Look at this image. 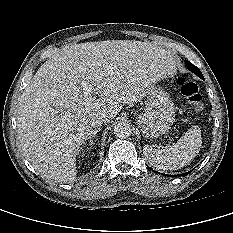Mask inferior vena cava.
I'll list each match as a JSON object with an SVG mask.
<instances>
[{"label": "inferior vena cava", "instance_id": "1", "mask_svg": "<svg viewBox=\"0 0 233 233\" xmlns=\"http://www.w3.org/2000/svg\"><path fill=\"white\" fill-rule=\"evenodd\" d=\"M104 122H106V118L102 114H94L90 118V125L95 128L100 127Z\"/></svg>", "mask_w": 233, "mask_h": 233}]
</instances>
